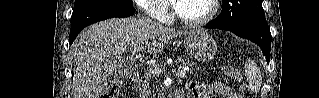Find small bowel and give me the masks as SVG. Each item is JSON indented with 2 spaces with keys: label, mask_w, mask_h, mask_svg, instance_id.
I'll use <instances>...</instances> for the list:
<instances>
[{
  "label": "small bowel",
  "mask_w": 319,
  "mask_h": 98,
  "mask_svg": "<svg viewBox=\"0 0 319 98\" xmlns=\"http://www.w3.org/2000/svg\"><path fill=\"white\" fill-rule=\"evenodd\" d=\"M187 88L194 98H240L233 93L231 87L223 82H214L211 85H204L196 81H189Z\"/></svg>",
  "instance_id": "1"
}]
</instances>
